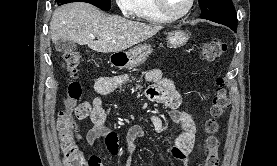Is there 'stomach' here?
Returning <instances> with one entry per match:
<instances>
[{
	"mask_svg": "<svg viewBox=\"0 0 277 166\" xmlns=\"http://www.w3.org/2000/svg\"><path fill=\"white\" fill-rule=\"evenodd\" d=\"M189 36L182 30H176L168 33L167 43L171 47H180L186 44ZM152 47L149 44H141L124 52H115L110 56L109 62L112 66L119 68L132 69L144 63L152 53Z\"/></svg>",
	"mask_w": 277,
	"mask_h": 166,
	"instance_id": "1",
	"label": "stomach"
}]
</instances>
